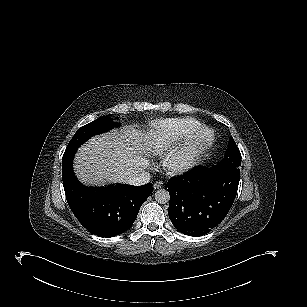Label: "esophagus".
I'll return each instance as SVG.
<instances>
[{"instance_id": "1", "label": "esophagus", "mask_w": 307, "mask_h": 307, "mask_svg": "<svg viewBox=\"0 0 307 307\" xmlns=\"http://www.w3.org/2000/svg\"><path fill=\"white\" fill-rule=\"evenodd\" d=\"M163 186V182L162 181H157L154 183L153 185V188L156 190V189H159Z\"/></svg>"}]
</instances>
